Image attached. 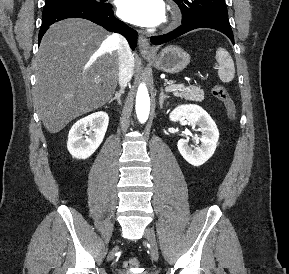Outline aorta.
Segmentation results:
<instances>
[{
  "label": "aorta",
  "instance_id": "1",
  "mask_svg": "<svg viewBox=\"0 0 289 274\" xmlns=\"http://www.w3.org/2000/svg\"><path fill=\"white\" fill-rule=\"evenodd\" d=\"M150 112V97L148 89L144 83H141L136 95V114L141 123H145Z\"/></svg>",
  "mask_w": 289,
  "mask_h": 274
}]
</instances>
